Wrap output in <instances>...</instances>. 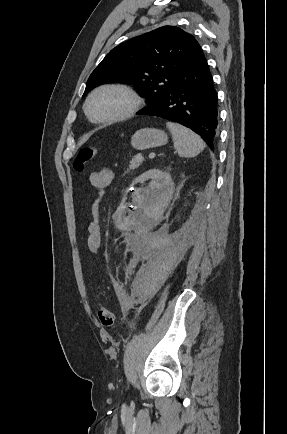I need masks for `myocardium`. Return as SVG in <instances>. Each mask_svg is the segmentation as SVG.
I'll use <instances>...</instances> for the list:
<instances>
[{
  "instance_id": "1",
  "label": "myocardium",
  "mask_w": 287,
  "mask_h": 434,
  "mask_svg": "<svg viewBox=\"0 0 287 434\" xmlns=\"http://www.w3.org/2000/svg\"><path fill=\"white\" fill-rule=\"evenodd\" d=\"M107 90H117L122 92L128 97L129 104L126 109L118 115L105 118H95L90 113V103L96 95ZM141 105L142 98L132 87L121 83H105L97 86L89 93L85 100L84 111L88 119L95 124H112L131 118L139 111Z\"/></svg>"
}]
</instances>
